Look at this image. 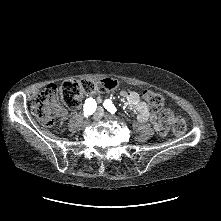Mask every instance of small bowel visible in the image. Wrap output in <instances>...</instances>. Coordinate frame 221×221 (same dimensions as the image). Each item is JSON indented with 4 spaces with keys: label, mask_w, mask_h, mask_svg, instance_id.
Listing matches in <instances>:
<instances>
[{
    "label": "small bowel",
    "mask_w": 221,
    "mask_h": 221,
    "mask_svg": "<svg viewBox=\"0 0 221 221\" xmlns=\"http://www.w3.org/2000/svg\"><path fill=\"white\" fill-rule=\"evenodd\" d=\"M121 95L126 99L129 106L138 113V119L141 122L151 121L156 131L160 132L163 128L156 116H151L148 107L142 102L136 92L122 91ZM89 99V98H88ZM93 99V98H92ZM96 100L101 101V97L97 96ZM167 131V126L164 127Z\"/></svg>",
    "instance_id": "c3829d8e"
}]
</instances>
